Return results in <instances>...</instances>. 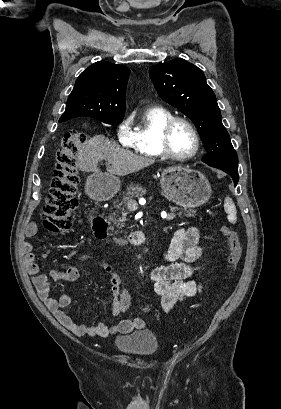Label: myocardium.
I'll return each mask as SVG.
<instances>
[{"label":"myocardium","instance_id":"1","mask_svg":"<svg viewBox=\"0 0 281 409\" xmlns=\"http://www.w3.org/2000/svg\"><path fill=\"white\" fill-rule=\"evenodd\" d=\"M178 124H183L185 125L190 132L192 133L195 141V147L194 150L186 155H178L175 154L170 146V137L171 133L174 129V127ZM201 145V140H200V135L196 129V127L193 125V123L188 120L185 117L181 116H175L172 119H170L166 124L163 126L160 136H159V147L161 149V152L163 153L164 156L176 160V161H185L193 158L199 151Z\"/></svg>","mask_w":281,"mask_h":409}]
</instances>
